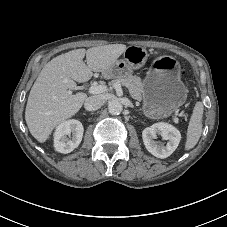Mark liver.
<instances>
[{"instance_id":"liver-1","label":"liver","mask_w":227,"mask_h":227,"mask_svg":"<svg viewBox=\"0 0 227 227\" xmlns=\"http://www.w3.org/2000/svg\"><path fill=\"white\" fill-rule=\"evenodd\" d=\"M126 49L124 44L76 49L49 61L34 82L27 100L25 120L31 135L43 143L59 124L75 115L87 99L83 92L72 94L77 88L76 82L88 81L92 72L103 73ZM85 55L87 64L83 61Z\"/></svg>"}]
</instances>
